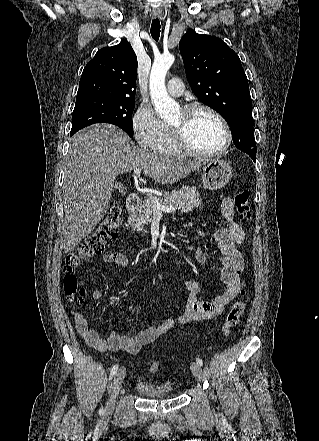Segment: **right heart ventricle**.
<instances>
[{
    "instance_id": "e07e8e85",
    "label": "right heart ventricle",
    "mask_w": 319,
    "mask_h": 441,
    "mask_svg": "<svg viewBox=\"0 0 319 441\" xmlns=\"http://www.w3.org/2000/svg\"><path fill=\"white\" fill-rule=\"evenodd\" d=\"M164 155H181L182 153L176 148L169 126L164 124V138L159 148L156 150Z\"/></svg>"
}]
</instances>
